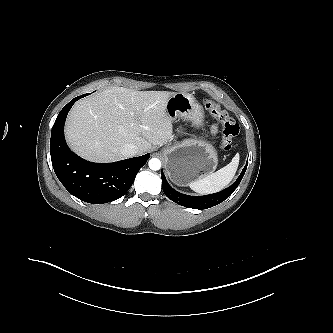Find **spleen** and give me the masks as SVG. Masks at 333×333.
Returning a JSON list of instances; mask_svg holds the SVG:
<instances>
[{
  "mask_svg": "<svg viewBox=\"0 0 333 333\" xmlns=\"http://www.w3.org/2000/svg\"><path fill=\"white\" fill-rule=\"evenodd\" d=\"M240 156L237 153L229 164L202 179L189 183V187L200 194L215 193L226 187L234 178L239 165Z\"/></svg>",
  "mask_w": 333,
  "mask_h": 333,
  "instance_id": "obj_1",
  "label": "spleen"
}]
</instances>
